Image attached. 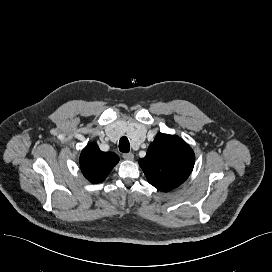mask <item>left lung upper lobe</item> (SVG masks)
<instances>
[{
  "label": "left lung upper lobe",
  "instance_id": "5c2ea615",
  "mask_svg": "<svg viewBox=\"0 0 272 272\" xmlns=\"http://www.w3.org/2000/svg\"><path fill=\"white\" fill-rule=\"evenodd\" d=\"M194 162L193 150L180 137L158 133L139 165L151 185L168 192L189 177Z\"/></svg>",
  "mask_w": 272,
  "mask_h": 272
}]
</instances>
